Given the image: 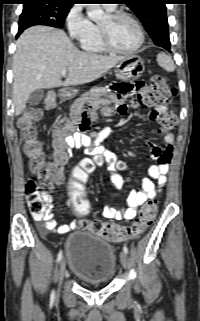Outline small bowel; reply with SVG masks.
<instances>
[{
	"instance_id": "small-bowel-1",
	"label": "small bowel",
	"mask_w": 200,
	"mask_h": 321,
	"mask_svg": "<svg viewBox=\"0 0 200 321\" xmlns=\"http://www.w3.org/2000/svg\"><path fill=\"white\" fill-rule=\"evenodd\" d=\"M145 83H136V82H122V80H115L114 84H111L106 90V92L112 93L109 96V100L105 101L104 93L101 92L98 95L86 97L80 100L75 110H79L80 106L85 101H94L100 103L105 101L106 103L118 105L121 102H127L133 96H139L140 90H145ZM168 113L164 106H155L146 116V120L149 121H159L164 126V130L161 132L165 133V143L166 148L163 150L155 143L147 140V144L151 149V158L157 161L156 164L152 165L148 169V176L144 177L141 181V188L139 190H131L127 196L126 208L114 207L107 205L102 210V215L106 219L111 220H132L137 215V210L139 206L147 201L149 198H153L156 193V187L153 180L157 182L159 186H163L167 182V172L169 170V162L172 156L173 148V135L166 128L165 121L168 117ZM112 130L110 127H105L99 131H94L90 133L82 132H72L65 134L61 139V144L65 147L64 158L62 165H64L68 159L69 153L67 148H81L88 155L94 156L95 159L102 161L103 159H110L111 156L103 148L102 143L107 139ZM59 153L58 146L54 144L53 154L56 155ZM111 181L116 186H121L122 180L119 176L112 174ZM63 182V176L59 178L55 184L60 185ZM45 203L48 207L46 214L41 218H36L38 221H42L43 224L40 226V229L43 233L55 232L58 234H66L71 230L77 229L80 225V222L73 221L69 224H63L57 226L55 220L53 219V214L51 208L53 207V199L50 193L44 195ZM67 206L70 207V202L68 201Z\"/></svg>"
}]
</instances>
